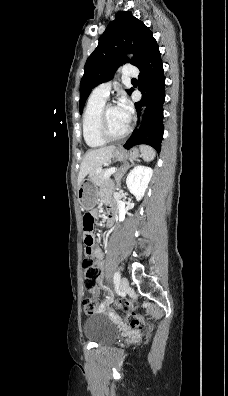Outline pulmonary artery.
<instances>
[{
    "label": "pulmonary artery",
    "mask_w": 228,
    "mask_h": 396,
    "mask_svg": "<svg viewBox=\"0 0 228 396\" xmlns=\"http://www.w3.org/2000/svg\"><path fill=\"white\" fill-rule=\"evenodd\" d=\"M122 73L126 78H135L136 76H138L139 71L136 67L127 66L124 68ZM111 86L112 84L110 81L101 83L93 89L92 94L97 97L107 99L111 91Z\"/></svg>",
    "instance_id": "obj_1"
}]
</instances>
